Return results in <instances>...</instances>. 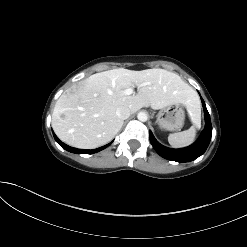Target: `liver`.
Listing matches in <instances>:
<instances>
[{
	"label": "liver",
	"instance_id": "1",
	"mask_svg": "<svg viewBox=\"0 0 247 247\" xmlns=\"http://www.w3.org/2000/svg\"><path fill=\"white\" fill-rule=\"evenodd\" d=\"M142 83L147 85L137 94L122 93ZM173 104H183L188 110L198 105L196 93L178 74L155 68H117L93 74L67 89L55 104L52 127L68 145L92 149L110 142L121 129L118 107L135 113L142 107L158 110Z\"/></svg>",
	"mask_w": 247,
	"mask_h": 247
}]
</instances>
